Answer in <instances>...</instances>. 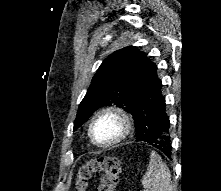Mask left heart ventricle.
<instances>
[{
  "mask_svg": "<svg viewBox=\"0 0 221 191\" xmlns=\"http://www.w3.org/2000/svg\"><path fill=\"white\" fill-rule=\"evenodd\" d=\"M119 132V121L112 116L102 117L94 126V137L100 143L111 141Z\"/></svg>",
  "mask_w": 221,
  "mask_h": 191,
  "instance_id": "b2bd125f",
  "label": "left heart ventricle"
}]
</instances>
